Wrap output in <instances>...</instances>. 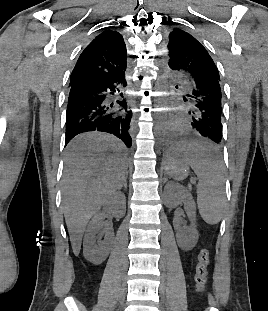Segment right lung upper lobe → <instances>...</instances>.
Returning a JSON list of instances; mask_svg holds the SVG:
<instances>
[{
	"mask_svg": "<svg viewBox=\"0 0 268 311\" xmlns=\"http://www.w3.org/2000/svg\"><path fill=\"white\" fill-rule=\"evenodd\" d=\"M127 50L122 35L113 30L99 34L81 53L70 85L118 76L126 70Z\"/></svg>",
	"mask_w": 268,
	"mask_h": 311,
	"instance_id": "obj_1",
	"label": "right lung upper lobe"
}]
</instances>
